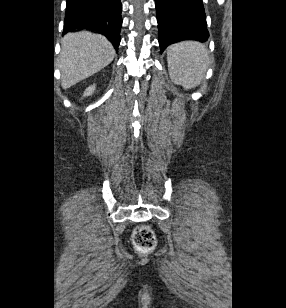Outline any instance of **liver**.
<instances>
[{"label":"liver","mask_w":286,"mask_h":308,"mask_svg":"<svg viewBox=\"0 0 286 308\" xmlns=\"http://www.w3.org/2000/svg\"><path fill=\"white\" fill-rule=\"evenodd\" d=\"M61 46L59 67L63 89L94 75L115 57L112 44L104 36L88 31L66 34Z\"/></svg>","instance_id":"liver-1"}]
</instances>
